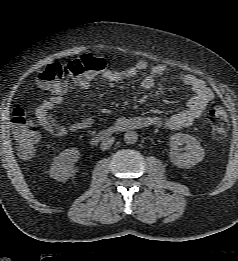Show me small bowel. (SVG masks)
Masks as SVG:
<instances>
[{
  "label": "small bowel",
  "instance_id": "small-bowel-1",
  "mask_svg": "<svg viewBox=\"0 0 238 261\" xmlns=\"http://www.w3.org/2000/svg\"><path fill=\"white\" fill-rule=\"evenodd\" d=\"M147 68L148 63L145 60H139L133 66L121 71H115L105 67L100 72V75L109 83H117L133 78ZM167 71L168 67L164 64L152 66L149 73L142 79L141 87L145 90L153 88L156 80ZM178 78L183 85L187 86L193 92L184 110L169 118H162L159 116H121L116 120V124L131 125L134 129L157 127L167 130H180L192 125L203 115L206 107L213 99V93L203 80L192 74H180ZM90 80L91 78L88 76L81 77L75 79L73 84L76 89L84 91L90 87ZM67 89L61 93L54 92L51 97L43 100L35 110L38 123L53 137H64L72 132L88 130L94 125V119L91 116L76 121L68 126L61 125L56 121L52 112L63 103L64 94Z\"/></svg>",
  "mask_w": 238,
  "mask_h": 261
}]
</instances>
